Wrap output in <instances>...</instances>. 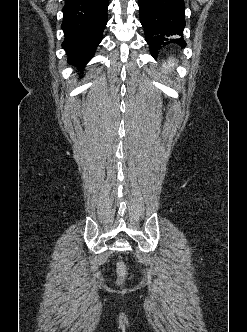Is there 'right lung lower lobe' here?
<instances>
[{
    "instance_id": "right-lung-lower-lobe-1",
    "label": "right lung lower lobe",
    "mask_w": 247,
    "mask_h": 332,
    "mask_svg": "<svg viewBox=\"0 0 247 332\" xmlns=\"http://www.w3.org/2000/svg\"><path fill=\"white\" fill-rule=\"evenodd\" d=\"M108 0H65L62 47L68 63L83 67L94 55L107 24Z\"/></svg>"
}]
</instances>
